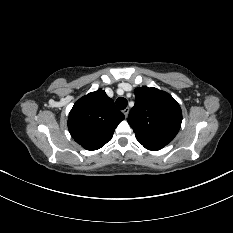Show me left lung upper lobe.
Here are the masks:
<instances>
[{
  "label": "left lung upper lobe",
  "mask_w": 233,
  "mask_h": 233,
  "mask_svg": "<svg viewBox=\"0 0 233 233\" xmlns=\"http://www.w3.org/2000/svg\"><path fill=\"white\" fill-rule=\"evenodd\" d=\"M181 122V108L170 94L146 86L135 89V105L129 113L128 123L144 147L169 144Z\"/></svg>",
  "instance_id": "5c2ea615"
}]
</instances>
